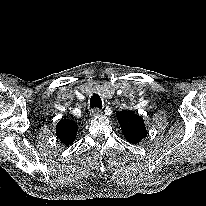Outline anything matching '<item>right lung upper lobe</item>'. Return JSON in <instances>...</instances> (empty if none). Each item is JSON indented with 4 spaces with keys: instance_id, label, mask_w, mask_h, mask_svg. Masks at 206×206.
I'll return each instance as SVG.
<instances>
[{
    "instance_id": "obj_1",
    "label": "right lung upper lobe",
    "mask_w": 206,
    "mask_h": 206,
    "mask_svg": "<svg viewBox=\"0 0 206 206\" xmlns=\"http://www.w3.org/2000/svg\"><path fill=\"white\" fill-rule=\"evenodd\" d=\"M78 125L72 120H60L56 126V134L61 143L71 145L76 137Z\"/></svg>"
}]
</instances>
